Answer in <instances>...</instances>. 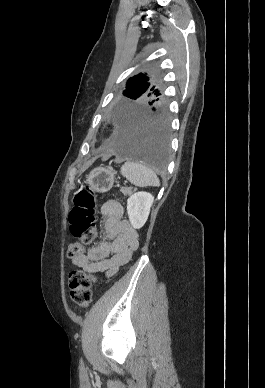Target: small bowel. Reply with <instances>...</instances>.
<instances>
[{
	"mask_svg": "<svg viewBox=\"0 0 265 388\" xmlns=\"http://www.w3.org/2000/svg\"><path fill=\"white\" fill-rule=\"evenodd\" d=\"M104 218L105 240L72 259V264L88 273L113 276L125 265L138 247V233L123 219V208L118 201L108 200L101 207Z\"/></svg>",
	"mask_w": 265,
	"mask_h": 388,
	"instance_id": "obj_1",
	"label": "small bowel"
}]
</instances>
